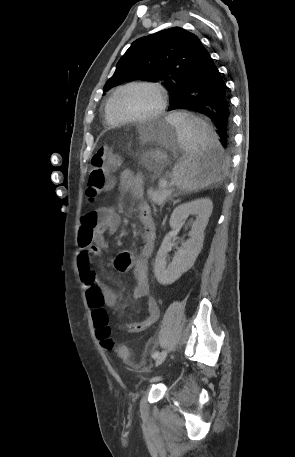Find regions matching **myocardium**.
Listing matches in <instances>:
<instances>
[{"label": "myocardium", "mask_w": 295, "mask_h": 457, "mask_svg": "<svg viewBox=\"0 0 295 457\" xmlns=\"http://www.w3.org/2000/svg\"><path fill=\"white\" fill-rule=\"evenodd\" d=\"M133 86H147V87L153 88L156 91V93L158 95L159 103H158L157 108L153 112H151L150 114H147L145 116H141V117H123V116H120L116 112L115 100H116L117 95L122 90L133 87ZM166 106H167V94H166L165 89L159 83L152 82V81H132V82L126 83L122 86H119L114 91V93L112 94L111 99H110V112H111L112 116L118 122H122V123H142V122L151 121V120L159 117L164 112Z\"/></svg>", "instance_id": "myocardium-1"}]
</instances>
